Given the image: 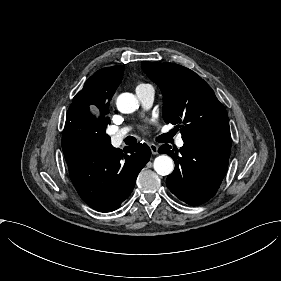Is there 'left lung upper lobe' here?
<instances>
[{
    "mask_svg": "<svg viewBox=\"0 0 281 281\" xmlns=\"http://www.w3.org/2000/svg\"><path fill=\"white\" fill-rule=\"evenodd\" d=\"M142 68L162 91L164 121L181 127L184 142L231 141L226 110L201 77L174 63L143 62Z\"/></svg>",
    "mask_w": 281,
    "mask_h": 281,
    "instance_id": "5c2ea615",
    "label": "left lung upper lobe"
}]
</instances>
